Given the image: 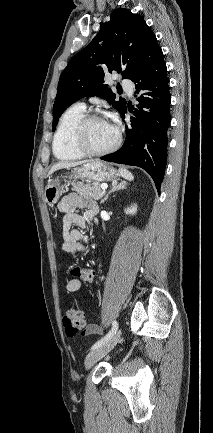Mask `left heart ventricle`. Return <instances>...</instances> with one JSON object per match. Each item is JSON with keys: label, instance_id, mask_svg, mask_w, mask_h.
<instances>
[{"label": "left heart ventricle", "instance_id": "obj_1", "mask_svg": "<svg viewBox=\"0 0 213 433\" xmlns=\"http://www.w3.org/2000/svg\"><path fill=\"white\" fill-rule=\"evenodd\" d=\"M117 138L116 127L107 120L91 121L86 128V142L93 150H105Z\"/></svg>", "mask_w": 213, "mask_h": 433}]
</instances>
